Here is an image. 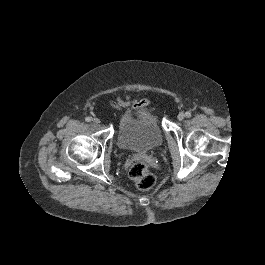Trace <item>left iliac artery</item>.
<instances>
[{"label": "left iliac artery", "mask_w": 265, "mask_h": 265, "mask_svg": "<svg viewBox=\"0 0 265 265\" xmlns=\"http://www.w3.org/2000/svg\"><path fill=\"white\" fill-rule=\"evenodd\" d=\"M185 115H186V117H188V118L191 117V113H190V112H186Z\"/></svg>", "instance_id": "1"}]
</instances>
